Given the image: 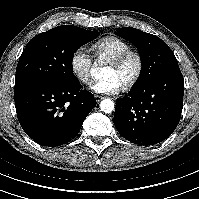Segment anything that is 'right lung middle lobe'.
<instances>
[{
    "instance_id": "dd1d6c3e",
    "label": "right lung middle lobe",
    "mask_w": 199,
    "mask_h": 199,
    "mask_svg": "<svg viewBox=\"0 0 199 199\" xmlns=\"http://www.w3.org/2000/svg\"><path fill=\"white\" fill-rule=\"evenodd\" d=\"M99 32L77 26H57L35 36L24 49L16 69L15 84L46 80L66 83L77 80L72 73L74 53L94 40Z\"/></svg>"
}]
</instances>
